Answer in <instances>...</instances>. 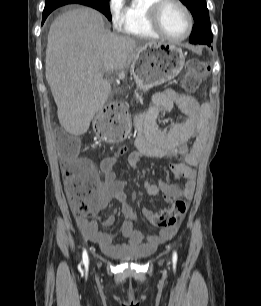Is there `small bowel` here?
<instances>
[{
    "label": "small bowel",
    "mask_w": 261,
    "mask_h": 306,
    "mask_svg": "<svg viewBox=\"0 0 261 306\" xmlns=\"http://www.w3.org/2000/svg\"><path fill=\"white\" fill-rule=\"evenodd\" d=\"M174 106L182 111L185 120L175 124L168 132L161 131L158 128V119ZM208 113V105H200L194 97L187 94L166 89L153 95L151 105L135 118V150L129 151L127 146L120 147L115 153L102 159V178L95 173L92 205L88 210L76 214L77 224L85 238L97 244L106 255L119 257L128 253H150L157 245L170 240L176 234L177 226H172L163 228L147 239L143 238L132 222L135 213L126 203L125 182L117 179L113 166L125 153L128 154L127 163L131 168H138L143 158L171 160L170 171L182 185L178 187L160 179L158 183L146 181L144 188L151 196L162 192L167 202L178 198L190 199L194 190V167L199 163L205 147L203 120ZM75 158L78 163L91 164L87 159ZM69 164L65 159L62 160L64 173ZM112 201L121 204L125 220L114 233L109 234L98 229L95 218ZM143 212L146 216L150 211L143 209ZM114 221L115 217L110 215L101 221V225L111 227ZM120 237L125 239L122 244L116 242Z\"/></svg>",
    "instance_id": "c3829d8e"
}]
</instances>
